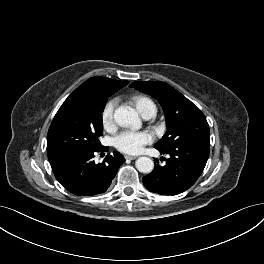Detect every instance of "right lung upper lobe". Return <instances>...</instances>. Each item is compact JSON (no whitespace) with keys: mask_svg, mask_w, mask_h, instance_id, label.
I'll list each match as a JSON object with an SVG mask.
<instances>
[{"mask_svg":"<svg viewBox=\"0 0 264 264\" xmlns=\"http://www.w3.org/2000/svg\"><path fill=\"white\" fill-rule=\"evenodd\" d=\"M127 84L128 81H118L104 77H92L82 83L71 94L108 98Z\"/></svg>","mask_w":264,"mask_h":264,"instance_id":"obj_1","label":"right lung upper lobe"}]
</instances>
